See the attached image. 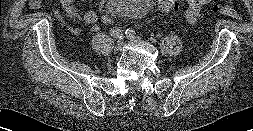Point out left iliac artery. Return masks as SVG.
Masks as SVG:
<instances>
[{
    "instance_id": "44dca946",
    "label": "left iliac artery",
    "mask_w": 253,
    "mask_h": 131,
    "mask_svg": "<svg viewBox=\"0 0 253 131\" xmlns=\"http://www.w3.org/2000/svg\"><path fill=\"white\" fill-rule=\"evenodd\" d=\"M125 34H126L127 37H129V36H135L136 32H135V30L129 28V29H126Z\"/></svg>"
}]
</instances>
